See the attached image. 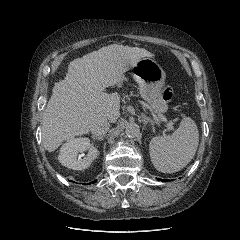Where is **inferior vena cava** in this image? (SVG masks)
Masks as SVG:
<instances>
[{
    "label": "inferior vena cava",
    "instance_id": "1",
    "mask_svg": "<svg viewBox=\"0 0 240 240\" xmlns=\"http://www.w3.org/2000/svg\"><path fill=\"white\" fill-rule=\"evenodd\" d=\"M110 124L106 120L98 122L91 130L92 134L95 136H101L108 132Z\"/></svg>",
    "mask_w": 240,
    "mask_h": 240
}]
</instances>
